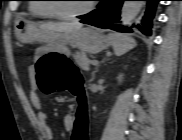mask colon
Returning <instances> with one entry per match:
<instances>
[{
  "label": "colon",
  "instance_id": "obj_1",
  "mask_svg": "<svg viewBox=\"0 0 182 140\" xmlns=\"http://www.w3.org/2000/svg\"><path fill=\"white\" fill-rule=\"evenodd\" d=\"M35 75L43 93L67 91L74 96L76 109L72 116L70 140H89V98L75 64L65 56H44L35 63Z\"/></svg>",
  "mask_w": 182,
  "mask_h": 140
}]
</instances>
